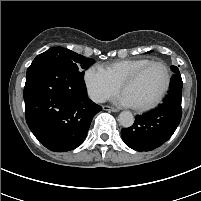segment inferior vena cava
Returning <instances> with one entry per match:
<instances>
[{"mask_svg": "<svg viewBox=\"0 0 201 201\" xmlns=\"http://www.w3.org/2000/svg\"><path fill=\"white\" fill-rule=\"evenodd\" d=\"M94 101H95V102H99V103H103V102L106 101V97L103 96V95H99V96H96V97L94 98Z\"/></svg>", "mask_w": 201, "mask_h": 201, "instance_id": "obj_1", "label": "inferior vena cava"}]
</instances>
